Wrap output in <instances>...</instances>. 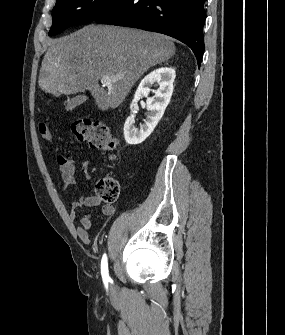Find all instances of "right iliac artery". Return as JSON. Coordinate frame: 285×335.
<instances>
[{
  "mask_svg": "<svg viewBox=\"0 0 285 335\" xmlns=\"http://www.w3.org/2000/svg\"><path fill=\"white\" fill-rule=\"evenodd\" d=\"M101 274L104 282H108L110 280L109 273H108V263H107V256L106 254L103 255L101 261Z\"/></svg>",
  "mask_w": 285,
  "mask_h": 335,
  "instance_id": "obj_1",
  "label": "right iliac artery"
}]
</instances>
